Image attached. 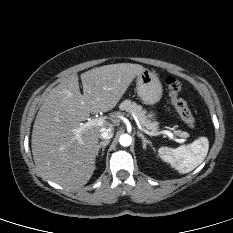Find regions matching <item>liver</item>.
<instances>
[{"instance_id":"obj_1","label":"liver","mask_w":233,"mask_h":233,"mask_svg":"<svg viewBox=\"0 0 233 233\" xmlns=\"http://www.w3.org/2000/svg\"><path fill=\"white\" fill-rule=\"evenodd\" d=\"M144 71L139 64L119 63L90 69L64 78L45 97L32 130V154L40 174L67 189L84 186L95 170L101 128L105 122L80 133L76 129L91 114L112 110L135 77ZM114 121V119H112Z\"/></svg>"}]
</instances>
